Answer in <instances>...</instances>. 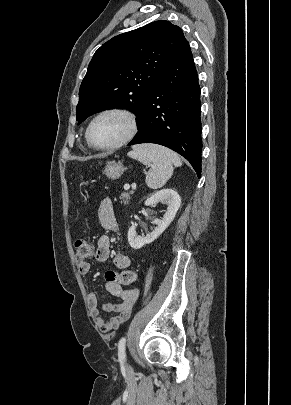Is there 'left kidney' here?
Here are the masks:
<instances>
[{"label":"left kidney","mask_w":291,"mask_h":405,"mask_svg":"<svg viewBox=\"0 0 291 405\" xmlns=\"http://www.w3.org/2000/svg\"><path fill=\"white\" fill-rule=\"evenodd\" d=\"M158 203L167 205V210L163 218L154 220L156 227L151 233L146 234V236H138L135 226L129 228L128 242L133 249H140L153 242L165 231L180 207L181 198L175 190L167 188L155 192L145 201L146 206H153Z\"/></svg>","instance_id":"left-kidney-1"}]
</instances>
